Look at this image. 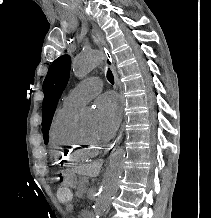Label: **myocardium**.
I'll return each mask as SVG.
<instances>
[{"label":"myocardium","instance_id":"f54148a6","mask_svg":"<svg viewBox=\"0 0 211 218\" xmlns=\"http://www.w3.org/2000/svg\"><path fill=\"white\" fill-rule=\"evenodd\" d=\"M79 135H80L81 142L88 148L98 150L102 146V142L97 136L88 137L83 133V131H79Z\"/></svg>","mask_w":211,"mask_h":218}]
</instances>
